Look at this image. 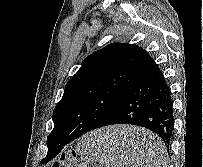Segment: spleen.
Returning <instances> with one entry per match:
<instances>
[{"mask_svg": "<svg viewBox=\"0 0 203 167\" xmlns=\"http://www.w3.org/2000/svg\"><path fill=\"white\" fill-rule=\"evenodd\" d=\"M112 143L109 132L99 130L85 136L78 149L105 167H166L167 152L163 142L157 137L148 138L143 146V157L135 163L120 157Z\"/></svg>", "mask_w": 203, "mask_h": 167, "instance_id": "obj_1", "label": "spleen"}]
</instances>
